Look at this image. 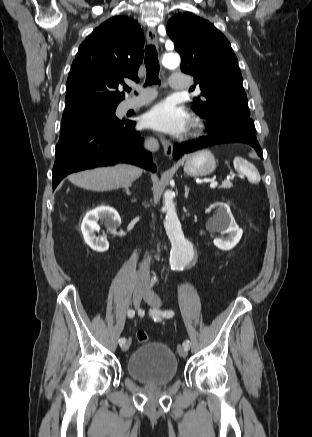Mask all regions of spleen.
<instances>
[{
	"mask_svg": "<svg viewBox=\"0 0 312 437\" xmlns=\"http://www.w3.org/2000/svg\"><path fill=\"white\" fill-rule=\"evenodd\" d=\"M234 167L237 171L248 175L253 182L260 181V177L249 168L248 162L246 160H244L243 158L236 157L234 159Z\"/></svg>",
	"mask_w": 312,
	"mask_h": 437,
	"instance_id": "obj_1",
	"label": "spleen"
}]
</instances>
